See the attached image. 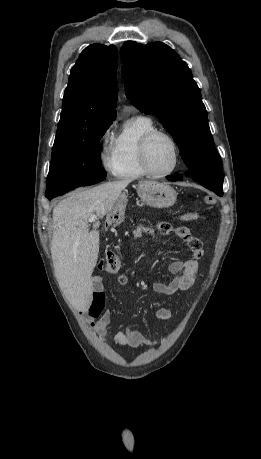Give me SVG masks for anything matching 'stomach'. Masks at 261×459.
Instances as JSON below:
<instances>
[{"instance_id":"obj_1","label":"stomach","mask_w":261,"mask_h":459,"mask_svg":"<svg viewBox=\"0 0 261 459\" xmlns=\"http://www.w3.org/2000/svg\"><path fill=\"white\" fill-rule=\"evenodd\" d=\"M137 193L141 201L152 208H169L173 206L177 199L176 191L168 184L157 181H142L137 185ZM126 196H120V201L117 203L113 213H119L123 216L121 208Z\"/></svg>"}]
</instances>
